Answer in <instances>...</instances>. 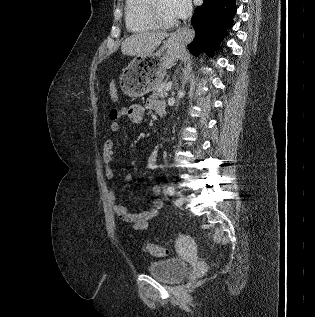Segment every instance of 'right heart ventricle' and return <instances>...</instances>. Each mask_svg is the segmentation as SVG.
Instances as JSON below:
<instances>
[{
    "label": "right heart ventricle",
    "instance_id": "obj_1",
    "mask_svg": "<svg viewBox=\"0 0 315 317\" xmlns=\"http://www.w3.org/2000/svg\"><path fill=\"white\" fill-rule=\"evenodd\" d=\"M146 3L147 0H126L124 18L130 32L141 33L154 28L146 16Z\"/></svg>",
    "mask_w": 315,
    "mask_h": 317
}]
</instances>
